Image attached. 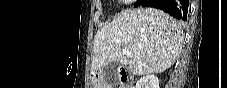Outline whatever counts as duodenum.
<instances>
[{
	"label": "duodenum",
	"mask_w": 227,
	"mask_h": 88,
	"mask_svg": "<svg viewBox=\"0 0 227 88\" xmlns=\"http://www.w3.org/2000/svg\"><path fill=\"white\" fill-rule=\"evenodd\" d=\"M120 73H121L120 82H121L124 86H131V85H133V78H132V76L127 72V70H126L124 67H121ZM130 88H131V87H130Z\"/></svg>",
	"instance_id": "410a0bca"
}]
</instances>
